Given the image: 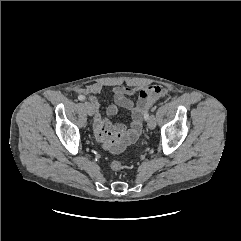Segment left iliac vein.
Listing matches in <instances>:
<instances>
[{
    "label": "left iliac vein",
    "mask_w": 241,
    "mask_h": 241,
    "mask_svg": "<svg viewBox=\"0 0 241 241\" xmlns=\"http://www.w3.org/2000/svg\"><path fill=\"white\" fill-rule=\"evenodd\" d=\"M147 125L150 129H154L156 127V119L154 115H151L148 119Z\"/></svg>",
    "instance_id": "4c4485c4"
}]
</instances>
